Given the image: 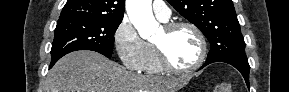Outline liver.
Masks as SVG:
<instances>
[{
  "label": "liver",
  "mask_w": 289,
  "mask_h": 92,
  "mask_svg": "<svg viewBox=\"0 0 289 92\" xmlns=\"http://www.w3.org/2000/svg\"><path fill=\"white\" fill-rule=\"evenodd\" d=\"M186 79L138 75L93 51L62 57L49 71L43 92H176Z\"/></svg>",
  "instance_id": "6515ba94"
}]
</instances>
